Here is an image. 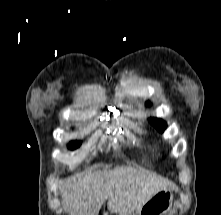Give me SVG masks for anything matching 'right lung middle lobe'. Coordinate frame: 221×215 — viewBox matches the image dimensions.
<instances>
[{
	"instance_id": "obj_1",
	"label": "right lung middle lobe",
	"mask_w": 221,
	"mask_h": 215,
	"mask_svg": "<svg viewBox=\"0 0 221 215\" xmlns=\"http://www.w3.org/2000/svg\"><path fill=\"white\" fill-rule=\"evenodd\" d=\"M81 145V142H78V141H73L69 144V148L70 149H75L77 147H79Z\"/></svg>"
}]
</instances>
